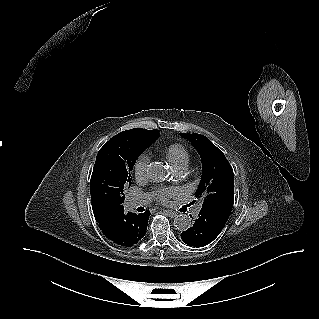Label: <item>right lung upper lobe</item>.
Wrapping results in <instances>:
<instances>
[{
  "mask_svg": "<svg viewBox=\"0 0 319 319\" xmlns=\"http://www.w3.org/2000/svg\"><path fill=\"white\" fill-rule=\"evenodd\" d=\"M160 133L158 130H147L142 128H135L127 131H123L116 136L126 140L130 144L146 149L151 145L158 137ZM96 217L99 218L103 215V212L95 213Z\"/></svg>",
  "mask_w": 319,
  "mask_h": 319,
  "instance_id": "1",
  "label": "right lung upper lobe"
}]
</instances>
